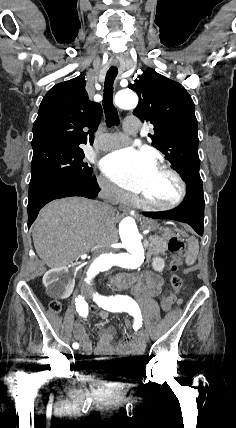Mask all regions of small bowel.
Masks as SVG:
<instances>
[{
  "mask_svg": "<svg viewBox=\"0 0 236 428\" xmlns=\"http://www.w3.org/2000/svg\"><path fill=\"white\" fill-rule=\"evenodd\" d=\"M162 284V278L158 274L148 272L138 280L135 289L138 292H143L149 296L155 297L161 294ZM100 316L102 319H108L109 313L102 311ZM74 334L83 345V354L81 359L85 363H90L92 361L91 357L93 353V346L84 326L77 324L74 328ZM114 334L115 329L111 326L102 328L100 330V340L94 349V354L96 356H118L123 358L137 359L142 355L145 346V340L141 333L125 338L117 345L112 344Z\"/></svg>",
  "mask_w": 236,
  "mask_h": 428,
  "instance_id": "c3829d8e",
  "label": "small bowel"
}]
</instances>
